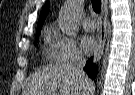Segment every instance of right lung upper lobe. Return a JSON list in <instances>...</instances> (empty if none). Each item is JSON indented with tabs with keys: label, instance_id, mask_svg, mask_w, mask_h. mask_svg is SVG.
I'll use <instances>...</instances> for the list:
<instances>
[{
	"label": "right lung upper lobe",
	"instance_id": "1",
	"mask_svg": "<svg viewBox=\"0 0 135 95\" xmlns=\"http://www.w3.org/2000/svg\"><path fill=\"white\" fill-rule=\"evenodd\" d=\"M49 6H50V3L47 2V3L44 5L43 9H42V12H41V14H40V17H39V20H38V23H37V31H36V33L41 32V28H42L43 23H44V20H45V18H46V15H47Z\"/></svg>",
	"mask_w": 135,
	"mask_h": 95
}]
</instances>
